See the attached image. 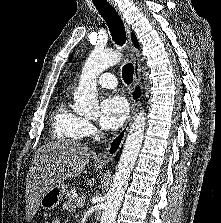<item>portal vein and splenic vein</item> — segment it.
<instances>
[{
    "mask_svg": "<svg viewBox=\"0 0 221 223\" xmlns=\"http://www.w3.org/2000/svg\"><path fill=\"white\" fill-rule=\"evenodd\" d=\"M83 203H84V199H80V200H78V202H77V204H79V205H83Z\"/></svg>",
    "mask_w": 221,
    "mask_h": 223,
    "instance_id": "1",
    "label": "portal vein and splenic vein"
}]
</instances>
